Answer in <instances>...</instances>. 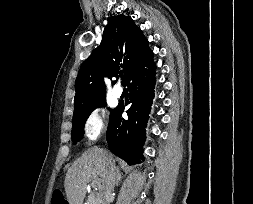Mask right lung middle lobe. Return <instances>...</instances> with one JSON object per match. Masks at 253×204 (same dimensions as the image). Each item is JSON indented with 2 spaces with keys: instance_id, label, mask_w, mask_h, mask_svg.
I'll list each match as a JSON object with an SVG mask.
<instances>
[{
  "instance_id": "right-lung-middle-lobe-1",
  "label": "right lung middle lobe",
  "mask_w": 253,
  "mask_h": 204,
  "mask_svg": "<svg viewBox=\"0 0 253 204\" xmlns=\"http://www.w3.org/2000/svg\"><path fill=\"white\" fill-rule=\"evenodd\" d=\"M104 97L75 111L73 115L72 140L76 144L84 134V125L90 113L97 107L104 106ZM113 110L111 111L112 114Z\"/></svg>"
}]
</instances>
